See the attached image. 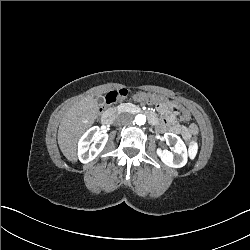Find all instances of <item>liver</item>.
Listing matches in <instances>:
<instances>
[{"mask_svg":"<svg viewBox=\"0 0 250 250\" xmlns=\"http://www.w3.org/2000/svg\"><path fill=\"white\" fill-rule=\"evenodd\" d=\"M98 103L86 96L77 101L64 115L58 129V144L64 156L76 161V144L80 135L97 117Z\"/></svg>","mask_w":250,"mask_h":250,"instance_id":"liver-1","label":"liver"}]
</instances>
